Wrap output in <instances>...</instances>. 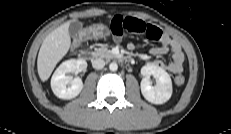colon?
Wrapping results in <instances>:
<instances>
[{
	"label": "colon",
	"mask_w": 231,
	"mask_h": 134,
	"mask_svg": "<svg viewBox=\"0 0 231 134\" xmlns=\"http://www.w3.org/2000/svg\"><path fill=\"white\" fill-rule=\"evenodd\" d=\"M112 32L110 28L107 25L104 24H94L86 27L83 29L78 37L74 40V45L77 46L80 44L83 40L88 38H104L107 36H111ZM185 82V78L182 75H178L175 78V83L178 86L183 85Z\"/></svg>",
	"instance_id": "colon-1"
}]
</instances>
